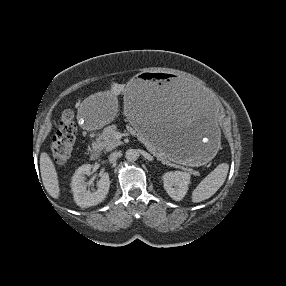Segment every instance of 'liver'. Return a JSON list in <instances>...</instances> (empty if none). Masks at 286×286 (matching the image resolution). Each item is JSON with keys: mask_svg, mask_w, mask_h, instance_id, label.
<instances>
[{"mask_svg": "<svg viewBox=\"0 0 286 286\" xmlns=\"http://www.w3.org/2000/svg\"><path fill=\"white\" fill-rule=\"evenodd\" d=\"M126 89L127 85H115L110 90L106 91L104 96L116 100L121 92L125 94ZM40 172L42 182L47 193L51 197L58 199L60 195L58 174L52 159L45 152L40 156Z\"/></svg>", "mask_w": 286, "mask_h": 286, "instance_id": "1", "label": "liver"}]
</instances>
